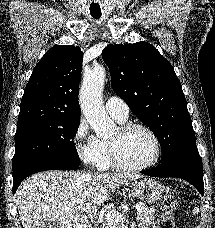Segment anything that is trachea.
Listing matches in <instances>:
<instances>
[{
    "label": "trachea",
    "instance_id": "trachea-1",
    "mask_svg": "<svg viewBox=\"0 0 215 228\" xmlns=\"http://www.w3.org/2000/svg\"><path fill=\"white\" fill-rule=\"evenodd\" d=\"M91 16L93 17V18H100L101 17V14H91Z\"/></svg>",
    "mask_w": 215,
    "mask_h": 228
}]
</instances>
